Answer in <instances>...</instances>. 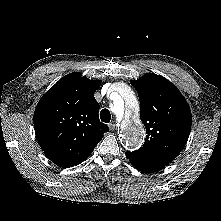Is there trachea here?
Here are the masks:
<instances>
[{"label":"trachea","mask_w":221,"mask_h":221,"mask_svg":"<svg viewBox=\"0 0 221 221\" xmlns=\"http://www.w3.org/2000/svg\"><path fill=\"white\" fill-rule=\"evenodd\" d=\"M100 118L102 122L109 123L111 120V114L108 109H102L100 112Z\"/></svg>","instance_id":"trachea-1"}]
</instances>
